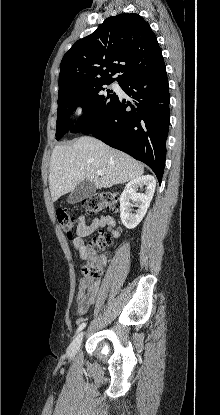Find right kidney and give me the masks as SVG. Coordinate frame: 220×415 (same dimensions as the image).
Returning <instances> with one entry per match:
<instances>
[{"instance_id":"ca27d5eb","label":"right kidney","mask_w":220,"mask_h":415,"mask_svg":"<svg viewBox=\"0 0 220 415\" xmlns=\"http://www.w3.org/2000/svg\"><path fill=\"white\" fill-rule=\"evenodd\" d=\"M144 186L145 193L136 192L138 187ZM155 187L156 181L151 175L137 177L126 184L120 196V218L126 228L133 229L141 222L153 198ZM130 200L135 201L138 207L135 213L131 212Z\"/></svg>"}]
</instances>
